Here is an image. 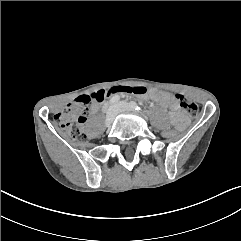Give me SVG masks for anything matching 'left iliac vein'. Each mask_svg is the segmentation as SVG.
<instances>
[{
	"instance_id": "4c4485c4",
	"label": "left iliac vein",
	"mask_w": 241,
	"mask_h": 241,
	"mask_svg": "<svg viewBox=\"0 0 241 241\" xmlns=\"http://www.w3.org/2000/svg\"><path fill=\"white\" fill-rule=\"evenodd\" d=\"M116 106L118 107L119 112L133 111V108L130 106V104L126 102H120Z\"/></svg>"
}]
</instances>
